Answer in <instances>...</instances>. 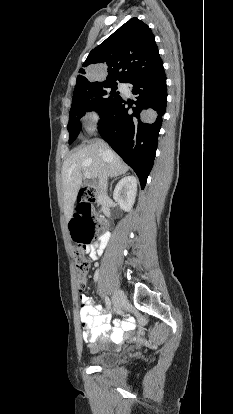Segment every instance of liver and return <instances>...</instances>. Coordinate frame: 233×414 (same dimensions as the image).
Returning <instances> with one entry per match:
<instances>
[{
  "instance_id": "6515ba94",
  "label": "liver",
  "mask_w": 233,
  "mask_h": 414,
  "mask_svg": "<svg viewBox=\"0 0 233 414\" xmlns=\"http://www.w3.org/2000/svg\"><path fill=\"white\" fill-rule=\"evenodd\" d=\"M107 170L108 176L125 174L129 167L101 139H92L66 159L62 166L64 192V215L67 220L73 215L74 204L80 190L82 179H96Z\"/></svg>"
}]
</instances>
